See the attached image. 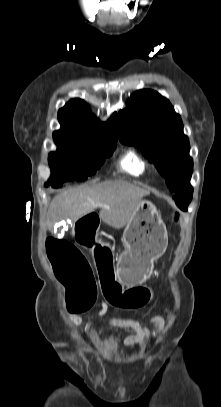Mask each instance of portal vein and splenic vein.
<instances>
[{"label":"portal vein and splenic vein","instance_id":"18ae733b","mask_svg":"<svg viewBox=\"0 0 221 407\" xmlns=\"http://www.w3.org/2000/svg\"><path fill=\"white\" fill-rule=\"evenodd\" d=\"M97 206L100 207V206H103V205L101 203H98ZM106 208H108V206H106Z\"/></svg>","mask_w":221,"mask_h":407}]
</instances>
